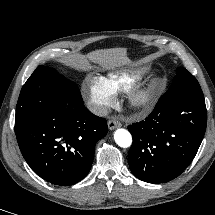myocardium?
<instances>
[{
    "mask_svg": "<svg viewBox=\"0 0 215 215\" xmlns=\"http://www.w3.org/2000/svg\"><path fill=\"white\" fill-rule=\"evenodd\" d=\"M158 90V82H151L142 87L131 90L127 96L129 106L138 112L148 110L154 103Z\"/></svg>",
    "mask_w": 215,
    "mask_h": 215,
    "instance_id": "obj_1",
    "label": "myocardium"
}]
</instances>
